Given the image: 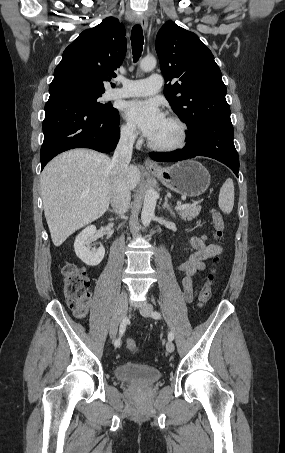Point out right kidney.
Instances as JSON below:
<instances>
[{"label":"right kidney","mask_w":285,"mask_h":453,"mask_svg":"<svg viewBox=\"0 0 285 453\" xmlns=\"http://www.w3.org/2000/svg\"><path fill=\"white\" fill-rule=\"evenodd\" d=\"M95 233L96 227L90 225L80 232L74 242V250L77 257L88 266H97L101 263L105 255V248L103 246H100L97 250H91L90 240Z\"/></svg>","instance_id":"obj_1"}]
</instances>
